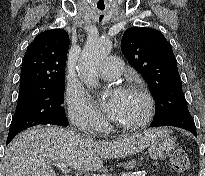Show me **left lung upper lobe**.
I'll return each mask as SVG.
<instances>
[{
	"label": "left lung upper lobe",
	"mask_w": 205,
	"mask_h": 176,
	"mask_svg": "<svg viewBox=\"0 0 205 176\" xmlns=\"http://www.w3.org/2000/svg\"><path fill=\"white\" fill-rule=\"evenodd\" d=\"M121 50L147 81L156 100L154 121L187 106L172 47L160 31L129 28L123 34Z\"/></svg>",
	"instance_id": "left-lung-upper-lobe-1"
}]
</instances>
